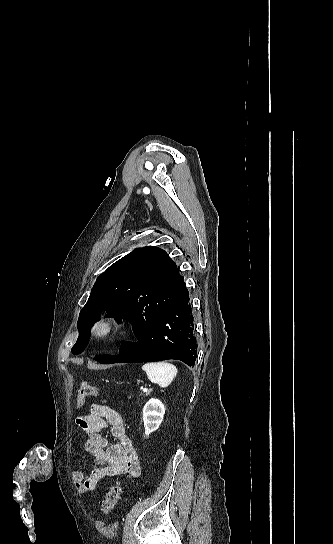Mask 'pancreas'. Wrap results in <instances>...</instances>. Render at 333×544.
<instances>
[{
    "label": "pancreas",
    "mask_w": 333,
    "mask_h": 544,
    "mask_svg": "<svg viewBox=\"0 0 333 544\" xmlns=\"http://www.w3.org/2000/svg\"><path fill=\"white\" fill-rule=\"evenodd\" d=\"M149 394H150V392L148 391V392L146 393V396L149 395Z\"/></svg>",
    "instance_id": "cf45deb5"
}]
</instances>
